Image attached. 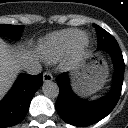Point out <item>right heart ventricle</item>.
<instances>
[{
  "instance_id": "1",
  "label": "right heart ventricle",
  "mask_w": 128,
  "mask_h": 128,
  "mask_svg": "<svg viewBox=\"0 0 128 128\" xmlns=\"http://www.w3.org/2000/svg\"><path fill=\"white\" fill-rule=\"evenodd\" d=\"M74 31L54 33L40 41L38 53L46 61H54L67 51L70 41L75 36Z\"/></svg>"
}]
</instances>
